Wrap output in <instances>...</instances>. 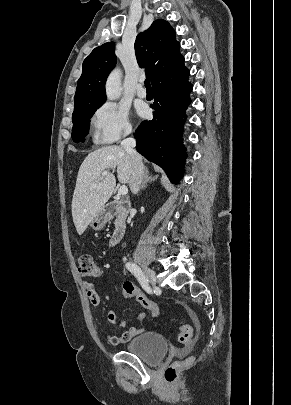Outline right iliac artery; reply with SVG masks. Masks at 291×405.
I'll return each mask as SVG.
<instances>
[{"mask_svg":"<svg viewBox=\"0 0 291 405\" xmlns=\"http://www.w3.org/2000/svg\"><path fill=\"white\" fill-rule=\"evenodd\" d=\"M127 269L137 278L142 288L149 294L152 293V289L149 286L148 280L141 271V269L135 265L134 263L128 262L126 263Z\"/></svg>","mask_w":291,"mask_h":405,"instance_id":"obj_1","label":"right iliac artery"}]
</instances>
